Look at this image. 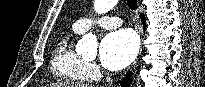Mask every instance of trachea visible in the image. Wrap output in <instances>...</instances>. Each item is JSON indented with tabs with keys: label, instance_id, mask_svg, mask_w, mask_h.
<instances>
[{
	"label": "trachea",
	"instance_id": "3493384b",
	"mask_svg": "<svg viewBox=\"0 0 205 87\" xmlns=\"http://www.w3.org/2000/svg\"><path fill=\"white\" fill-rule=\"evenodd\" d=\"M127 5L131 10L136 11V9H137V0H127Z\"/></svg>",
	"mask_w": 205,
	"mask_h": 87
}]
</instances>
